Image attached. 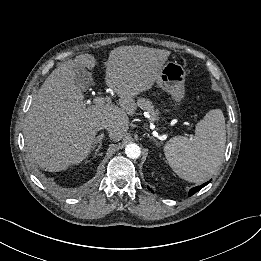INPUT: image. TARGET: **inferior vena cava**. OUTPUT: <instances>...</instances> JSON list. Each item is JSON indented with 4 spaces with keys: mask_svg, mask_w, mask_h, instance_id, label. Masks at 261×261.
Masks as SVG:
<instances>
[{
    "mask_svg": "<svg viewBox=\"0 0 261 261\" xmlns=\"http://www.w3.org/2000/svg\"><path fill=\"white\" fill-rule=\"evenodd\" d=\"M100 129H107L108 131H110V126L108 124H103L101 125Z\"/></svg>",
    "mask_w": 261,
    "mask_h": 261,
    "instance_id": "1",
    "label": "inferior vena cava"
}]
</instances>
